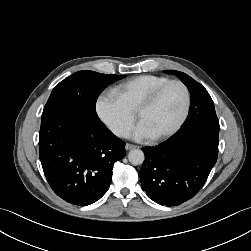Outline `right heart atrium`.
<instances>
[{
	"label": "right heart atrium",
	"mask_w": 251,
	"mask_h": 251,
	"mask_svg": "<svg viewBox=\"0 0 251 251\" xmlns=\"http://www.w3.org/2000/svg\"><path fill=\"white\" fill-rule=\"evenodd\" d=\"M99 119L118 137H125L133 126L135 115L113 89L103 90L96 98Z\"/></svg>",
	"instance_id": "d8ad5b80"
}]
</instances>
